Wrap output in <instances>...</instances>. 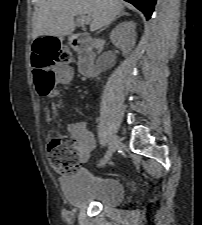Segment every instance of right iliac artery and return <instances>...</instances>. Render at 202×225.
Masks as SVG:
<instances>
[{"mask_svg": "<svg viewBox=\"0 0 202 225\" xmlns=\"http://www.w3.org/2000/svg\"><path fill=\"white\" fill-rule=\"evenodd\" d=\"M109 160L107 154L100 160L99 162V166H103L107 163V161Z\"/></svg>", "mask_w": 202, "mask_h": 225, "instance_id": "obj_1", "label": "right iliac artery"}]
</instances>
